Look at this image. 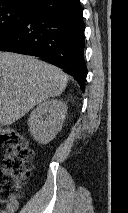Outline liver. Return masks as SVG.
Instances as JSON below:
<instances>
[{
    "instance_id": "6515ba94",
    "label": "liver",
    "mask_w": 128,
    "mask_h": 213,
    "mask_svg": "<svg viewBox=\"0 0 128 213\" xmlns=\"http://www.w3.org/2000/svg\"><path fill=\"white\" fill-rule=\"evenodd\" d=\"M68 76L33 56L0 52V124L11 125L36 104L60 95Z\"/></svg>"
}]
</instances>
